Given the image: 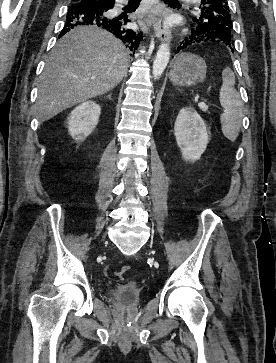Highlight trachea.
<instances>
[{
	"mask_svg": "<svg viewBox=\"0 0 276 363\" xmlns=\"http://www.w3.org/2000/svg\"><path fill=\"white\" fill-rule=\"evenodd\" d=\"M140 1L141 0H129V4L138 6L140 4ZM165 2L171 5H179L178 0H165Z\"/></svg>",
	"mask_w": 276,
	"mask_h": 363,
	"instance_id": "1",
	"label": "trachea"
}]
</instances>
